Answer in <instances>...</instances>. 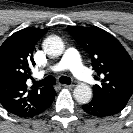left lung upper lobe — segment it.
Returning <instances> with one entry per match:
<instances>
[{"label":"left lung upper lobe","mask_w":133,"mask_h":133,"mask_svg":"<svg viewBox=\"0 0 133 133\" xmlns=\"http://www.w3.org/2000/svg\"><path fill=\"white\" fill-rule=\"evenodd\" d=\"M69 33L89 54L96 80L93 98L124 108L133 94V60L120 42L101 28L70 26Z\"/></svg>","instance_id":"left-lung-upper-lobe-1"}]
</instances>
